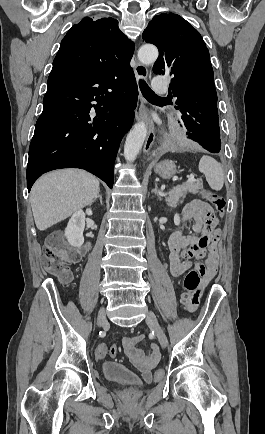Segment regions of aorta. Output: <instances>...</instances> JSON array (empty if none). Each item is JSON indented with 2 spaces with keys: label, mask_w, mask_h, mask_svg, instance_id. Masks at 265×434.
<instances>
[{
  "label": "aorta",
  "mask_w": 265,
  "mask_h": 434,
  "mask_svg": "<svg viewBox=\"0 0 265 434\" xmlns=\"http://www.w3.org/2000/svg\"><path fill=\"white\" fill-rule=\"evenodd\" d=\"M157 58L158 50L156 46L146 44V46H141L138 50V60L141 64H154ZM146 134L147 128L143 122L135 124L133 130H130L124 146V158L127 162H134L136 160V156L144 144Z\"/></svg>",
  "instance_id": "obj_1"
}]
</instances>
